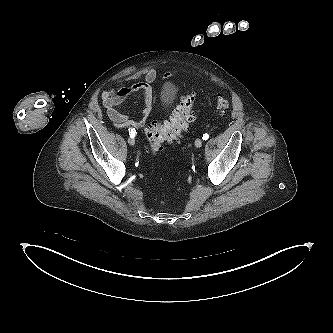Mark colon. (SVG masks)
I'll use <instances>...</instances> for the list:
<instances>
[{"label":"colon","mask_w":333,"mask_h":333,"mask_svg":"<svg viewBox=\"0 0 333 333\" xmlns=\"http://www.w3.org/2000/svg\"><path fill=\"white\" fill-rule=\"evenodd\" d=\"M194 103V93L184 95L168 120L162 124L153 122L145 128L148 152L155 153L166 143H177L180 141L182 135L195 118L193 112ZM215 103L216 108L222 114L229 109V102L222 95L215 96Z\"/></svg>","instance_id":"5ec220e1"}]
</instances>
